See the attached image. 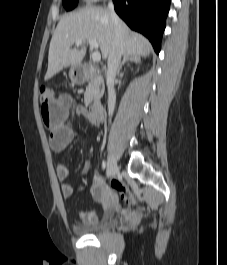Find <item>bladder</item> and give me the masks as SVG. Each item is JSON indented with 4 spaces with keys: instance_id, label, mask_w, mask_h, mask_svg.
I'll list each match as a JSON object with an SVG mask.
<instances>
[{
    "instance_id": "obj_1",
    "label": "bladder",
    "mask_w": 227,
    "mask_h": 265,
    "mask_svg": "<svg viewBox=\"0 0 227 265\" xmlns=\"http://www.w3.org/2000/svg\"><path fill=\"white\" fill-rule=\"evenodd\" d=\"M118 224V218L113 212H108L104 218L94 225H74L73 231L78 235H96L114 228Z\"/></svg>"
}]
</instances>
